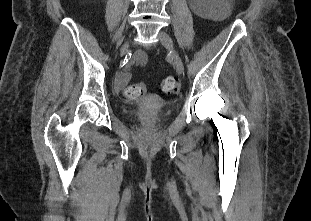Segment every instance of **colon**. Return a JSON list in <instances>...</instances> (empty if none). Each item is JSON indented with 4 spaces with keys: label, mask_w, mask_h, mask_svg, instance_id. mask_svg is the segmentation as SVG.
I'll return each mask as SVG.
<instances>
[{
    "label": "colon",
    "mask_w": 311,
    "mask_h": 221,
    "mask_svg": "<svg viewBox=\"0 0 311 221\" xmlns=\"http://www.w3.org/2000/svg\"><path fill=\"white\" fill-rule=\"evenodd\" d=\"M159 89L165 94H174L179 90V82L175 77L168 76L161 81ZM145 90L146 86L144 84L128 86L124 90V96L126 98L133 97L134 99H139Z\"/></svg>",
    "instance_id": "obj_1"
}]
</instances>
